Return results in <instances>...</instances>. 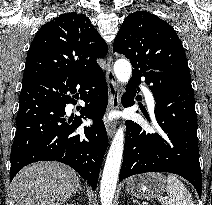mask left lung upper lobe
<instances>
[{"label": "left lung upper lobe", "instance_id": "obj_1", "mask_svg": "<svg viewBox=\"0 0 212 205\" xmlns=\"http://www.w3.org/2000/svg\"><path fill=\"white\" fill-rule=\"evenodd\" d=\"M115 57L124 55L133 66V74L158 70L190 79L182 43L175 30L157 16L137 11L124 20L113 45Z\"/></svg>", "mask_w": 212, "mask_h": 205}]
</instances>
